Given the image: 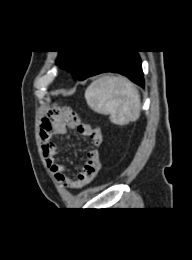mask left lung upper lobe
Segmentation results:
<instances>
[{"instance_id": "left-lung-upper-lobe-1", "label": "left lung upper lobe", "mask_w": 192, "mask_h": 260, "mask_svg": "<svg viewBox=\"0 0 192 260\" xmlns=\"http://www.w3.org/2000/svg\"><path fill=\"white\" fill-rule=\"evenodd\" d=\"M98 51H59L57 65L66 68L76 79L82 78L88 65Z\"/></svg>"}]
</instances>
